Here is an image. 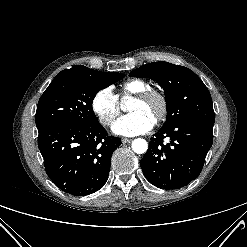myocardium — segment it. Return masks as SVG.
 <instances>
[{
	"label": "myocardium",
	"mask_w": 247,
	"mask_h": 247,
	"mask_svg": "<svg viewBox=\"0 0 247 247\" xmlns=\"http://www.w3.org/2000/svg\"><path fill=\"white\" fill-rule=\"evenodd\" d=\"M154 99L157 100L160 105L155 121L160 122L164 120L168 114L169 103L166 95L162 91L153 88L135 95V100L140 102H149Z\"/></svg>",
	"instance_id": "1"
}]
</instances>
